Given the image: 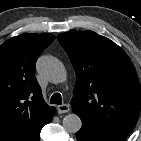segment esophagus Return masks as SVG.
I'll list each match as a JSON object with an SVG mask.
<instances>
[{"instance_id": "esophagus-1", "label": "esophagus", "mask_w": 141, "mask_h": 141, "mask_svg": "<svg viewBox=\"0 0 141 141\" xmlns=\"http://www.w3.org/2000/svg\"><path fill=\"white\" fill-rule=\"evenodd\" d=\"M58 113L63 114L70 111V107L67 104H62L57 107Z\"/></svg>"}]
</instances>
